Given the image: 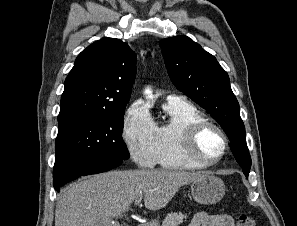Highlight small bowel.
<instances>
[{"mask_svg":"<svg viewBox=\"0 0 297 226\" xmlns=\"http://www.w3.org/2000/svg\"><path fill=\"white\" fill-rule=\"evenodd\" d=\"M188 226H235L234 220L227 214L196 213Z\"/></svg>","mask_w":297,"mask_h":226,"instance_id":"obj_1","label":"small bowel"}]
</instances>
